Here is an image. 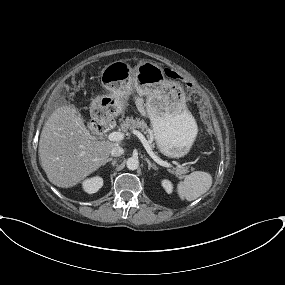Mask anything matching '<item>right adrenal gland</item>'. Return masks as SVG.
<instances>
[{
    "mask_svg": "<svg viewBox=\"0 0 285 285\" xmlns=\"http://www.w3.org/2000/svg\"><path fill=\"white\" fill-rule=\"evenodd\" d=\"M113 161V158H108L107 162Z\"/></svg>",
    "mask_w": 285,
    "mask_h": 285,
    "instance_id": "1",
    "label": "right adrenal gland"
}]
</instances>
